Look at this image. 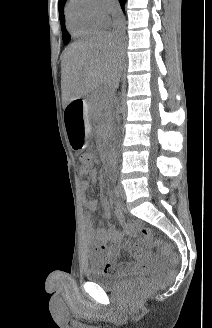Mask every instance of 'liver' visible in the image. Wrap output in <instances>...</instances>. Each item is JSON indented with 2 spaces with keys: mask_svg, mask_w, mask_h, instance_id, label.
Here are the masks:
<instances>
[{
  "mask_svg": "<svg viewBox=\"0 0 212 328\" xmlns=\"http://www.w3.org/2000/svg\"><path fill=\"white\" fill-rule=\"evenodd\" d=\"M122 43L111 32H101L67 47L62 55V100L70 103L98 89L118 86Z\"/></svg>",
  "mask_w": 212,
  "mask_h": 328,
  "instance_id": "liver-1",
  "label": "liver"
}]
</instances>
